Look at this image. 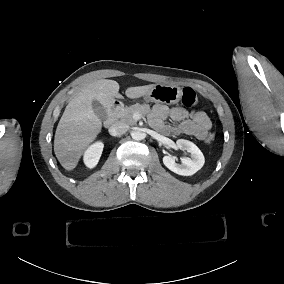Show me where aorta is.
<instances>
[{
	"mask_svg": "<svg viewBox=\"0 0 284 284\" xmlns=\"http://www.w3.org/2000/svg\"><path fill=\"white\" fill-rule=\"evenodd\" d=\"M131 136H132V138L134 139V140H137V141H139V140H142V139H144V133H142V132H140V131H133L132 133H131Z\"/></svg>",
	"mask_w": 284,
	"mask_h": 284,
	"instance_id": "obj_1",
	"label": "aorta"
}]
</instances>
